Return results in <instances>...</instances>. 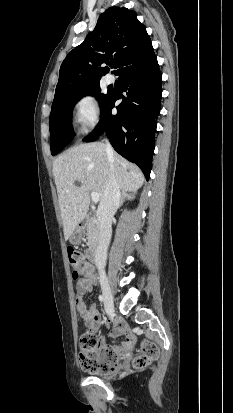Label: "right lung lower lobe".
<instances>
[{
  "mask_svg": "<svg viewBox=\"0 0 233 413\" xmlns=\"http://www.w3.org/2000/svg\"><path fill=\"white\" fill-rule=\"evenodd\" d=\"M115 75L122 81L121 91L126 95L111 92L98 125L84 141H95L106 131L113 148L137 164L148 180L162 95V76L151 42L123 62ZM120 98L123 100L116 107L117 114L112 115Z\"/></svg>",
  "mask_w": 233,
  "mask_h": 413,
  "instance_id": "obj_1",
  "label": "right lung lower lobe"
}]
</instances>
